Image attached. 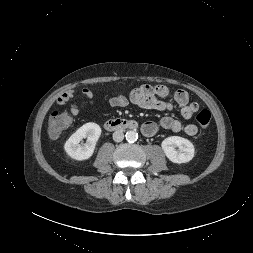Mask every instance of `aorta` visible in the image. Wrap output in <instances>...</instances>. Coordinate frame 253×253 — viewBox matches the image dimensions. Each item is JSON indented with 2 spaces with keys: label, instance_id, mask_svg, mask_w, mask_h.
I'll use <instances>...</instances> for the list:
<instances>
[{
  "label": "aorta",
  "instance_id": "1",
  "mask_svg": "<svg viewBox=\"0 0 253 253\" xmlns=\"http://www.w3.org/2000/svg\"><path fill=\"white\" fill-rule=\"evenodd\" d=\"M125 137L128 142H134L138 139V133L135 130H129L126 132Z\"/></svg>",
  "mask_w": 253,
  "mask_h": 253
}]
</instances>
